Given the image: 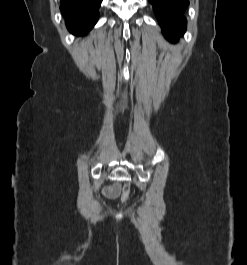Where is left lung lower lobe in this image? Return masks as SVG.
<instances>
[{
  "label": "left lung lower lobe",
  "instance_id": "0a47b994",
  "mask_svg": "<svg viewBox=\"0 0 247 265\" xmlns=\"http://www.w3.org/2000/svg\"><path fill=\"white\" fill-rule=\"evenodd\" d=\"M164 35L171 42H176L186 30V18L183 13L189 4L188 0H149Z\"/></svg>",
  "mask_w": 247,
  "mask_h": 265
}]
</instances>
